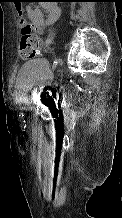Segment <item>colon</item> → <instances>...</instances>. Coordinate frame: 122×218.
<instances>
[{
  "label": "colon",
  "instance_id": "5ec220e1",
  "mask_svg": "<svg viewBox=\"0 0 122 218\" xmlns=\"http://www.w3.org/2000/svg\"><path fill=\"white\" fill-rule=\"evenodd\" d=\"M42 46L41 39L33 33L32 25L25 22L21 27L19 55L22 59L34 58Z\"/></svg>",
  "mask_w": 122,
  "mask_h": 218
}]
</instances>
